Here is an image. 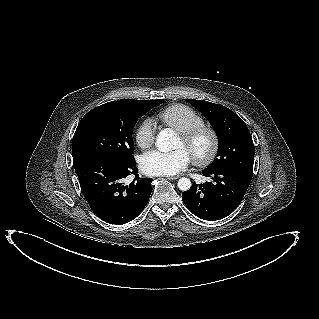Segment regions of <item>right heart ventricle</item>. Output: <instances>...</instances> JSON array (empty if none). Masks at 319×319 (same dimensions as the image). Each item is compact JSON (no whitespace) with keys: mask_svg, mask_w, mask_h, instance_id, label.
Here are the masks:
<instances>
[{"mask_svg":"<svg viewBox=\"0 0 319 319\" xmlns=\"http://www.w3.org/2000/svg\"><path fill=\"white\" fill-rule=\"evenodd\" d=\"M157 118L178 133L204 124L203 117L184 104H173L164 108L158 113Z\"/></svg>","mask_w":319,"mask_h":319,"instance_id":"e07e8e85","label":"right heart ventricle"}]
</instances>
